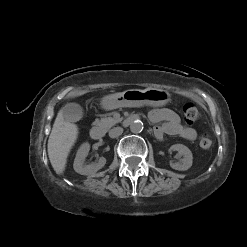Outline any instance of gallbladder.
I'll return each mask as SVG.
<instances>
[{
    "instance_id": "gallbladder-1",
    "label": "gallbladder",
    "mask_w": 247,
    "mask_h": 247,
    "mask_svg": "<svg viewBox=\"0 0 247 247\" xmlns=\"http://www.w3.org/2000/svg\"><path fill=\"white\" fill-rule=\"evenodd\" d=\"M63 118L68 122H76L83 116L82 107L77 103H68L62 109Z\"/></svg>"
}]
</instances>
